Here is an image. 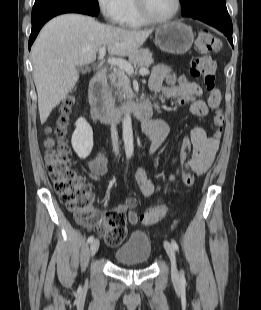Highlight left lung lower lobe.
<instances>
[{
  "instance_id": "left-lung-lower-lobe-1",
  "label": "left lung lower lobe",
  "mask_w": 261,
  "mask_h": 310,
  "mask_svg": "<svg viewBox=\"0 0 261 310\" xmlns=\"http://www.w3.org/2000/svg\"><path fill=\"white\" fill-rule=\"evenodd\" d=\"M193 18L213 26L223 32L228 38L230 44L233 46L232 21L226 7H219L210 13L198 15Z\"/></svg>"
}]
</instances>
